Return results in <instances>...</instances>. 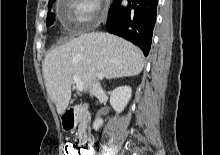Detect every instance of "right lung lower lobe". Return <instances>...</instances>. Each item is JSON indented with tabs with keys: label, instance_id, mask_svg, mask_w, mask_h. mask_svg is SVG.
<instances>
[{
	"label": "right lung lower lobe",
	"instance_id": "98d812e1",
	"mask_svg": "<svg viewBox=\"0 0 220 155\" xmlns=\"http://www.w3.org/2000/svg\"><path fill=\"white\" fill-rule=\"evenodd\" d=\"M158 0H128V6H121V0H113L107 18V30L139 46L147 56L157 15Z\"/></svg>",
	"mask_w": 220,
	"mask_h": 155
}]
</instances>
